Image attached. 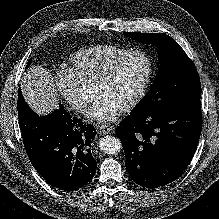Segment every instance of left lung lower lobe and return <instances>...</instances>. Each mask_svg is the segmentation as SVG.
<instances>
[{
  "instance_id": "0a47b994",
  "label": "left lung lower lobe",
  "mask_w": 219,
  "mask_h": 219,
  "mask_svg": "<svg viewBox=\"0 0 219 219\" xmlns=\"http://www.w3.org/2000/svg\"><path fill=\"white\" fill-rule=\"evenodd\" d=\"M202 129L200 100L151 115H129L116 129L131 179L146 188L164 186L189 165Z\"/></svg>"
}]
</instances>
